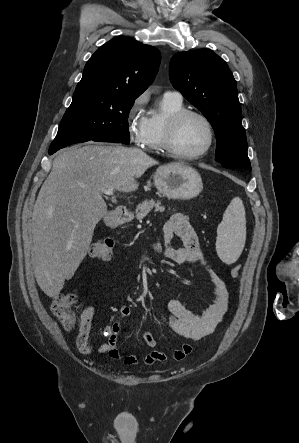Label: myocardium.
Returning <instances> with one entry per match:
<instances>
[{"instance_id": "f54148a6", "label": "myocardium", "mask_w": 299, "mask_h": 443, "mask_svg": "<svg viewBox=\"0 0 299 443\" xmlns=\"http://www.w3.org/2000/svg\"><path fill=\"white\" fill-rule=\"evenodd\" d=\"M189 116H195L201 119L205 123L208 130V142L206 146L200 152L194 154L183 153L179 151L175 145V138L178 128L181 122ZM214 141H215V131L213 125L211 121L208 119V117L199 111L182 109L180 111L171 114L166 121L164 137H163V147L164 150L173 157L184 160H196L202 158L211 150Z\"/></svg>"}]
</instances>
